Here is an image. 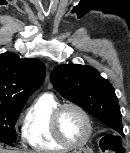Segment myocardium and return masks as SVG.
Wrapping results in <instances>:
<instances>
[{
    "instance_id": "myocardium-1",
    "label": "myocardium",
    "mask_w": 130,
    "mask_h": 153,
    "mask_svg": "<svg viewBox=\"0 0 130 153\" xmlns=\"http://www.w3.org/2000/svg\"><path fill=\"white\" fill-rule=\"evenodd\" d=\"M72 108L77 110L85 119L87 124V134L84 140L80 143H72L68 141L60 130V116L65 109ZM51 128L56 139L69 149H80L88 144L93 134L92 119L88 112L79 104L68 102L58 105L51 115Z\"/></svg>"
}]
</instances>
